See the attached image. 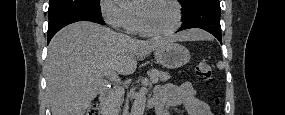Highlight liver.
<instances>
[{"instance_id":"1","label":"liver","mask_w":285,"mask_h":115,"mask_svg":"<svg viewBox=\"0 0 285 115\" xmlns=\"http://www.w3.org/2000/svg\"><path fill=\"white\" fill-rule=\"evenodd\" d=\"M207 37L201 30H188L143 41L88 21L64 27L52 38L45 62L52 115H84L109 83L105 77L134 73L139 58L167 43Z\"/></svg>"}]
</instances>
